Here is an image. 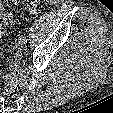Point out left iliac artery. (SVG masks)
I'll list each match as a JSON object with an SVG mask.
<instances>
[{
  "instance_id": "obj_1",
  "label": "left iliac artery",
  "mask_w": 113,
  "mask_h": 113,
  "mask_svg": "<svg viewBox=\"0 0 113 113\" xmlns=\"http://www.w3.org/2000/svg\"><path fill=\"white\" fill-rule=\"evenodd\" d=\"M21 40L24 42V43H27V39L25 37H22Z\"/></svg>"
}]
</instances>
